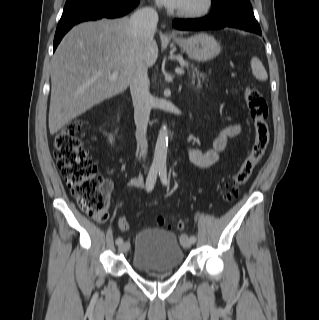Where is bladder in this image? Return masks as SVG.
Masks as SVG:
<instances>
[{
  "mask_svg": "<svg viewBox=\"0 0 319 320\" xmlns=\"http://www.w3.org/2000/svg\"><path fill=\"white\" fill-rule=\"evenodd\" d=\"M185 253L175 234L162 228L139 231L131 255L134 270H175L182 266Z\"/></svg>",
  "mask_w": 319,
  "mask_h": 320,
  "instance_id": "obj_1",
  "label": "bladder"
}]
</instances>
